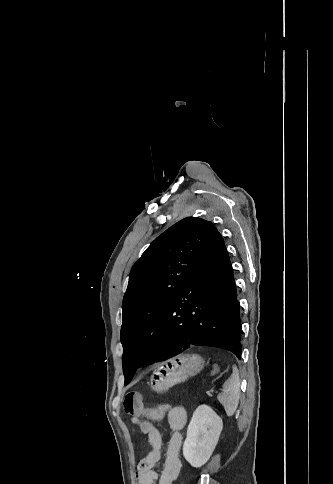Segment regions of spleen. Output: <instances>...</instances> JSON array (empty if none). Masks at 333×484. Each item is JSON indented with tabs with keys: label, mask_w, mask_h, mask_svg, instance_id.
I'll return each instance as SVG.
<instances>
[{
	"label": "spleen",
	"mask_w": 333,
	"mask_h": 484,
	"mask_svg": "<svg viewBox=\"0 0 333 484\" xmlns=\"http://www.w3.org/2000/svg\"><path fill=\"white\" fill-rule=\"evenodd\" d=\"M240 397V380L237 367L233 368L231 377L224 383L223 391L217 396L228 417L234 415Z\"/></svg>",
	"instance_id": "3e777b00"
}]
</instances>
